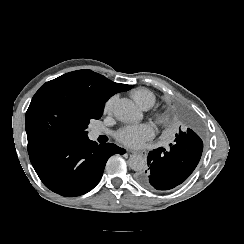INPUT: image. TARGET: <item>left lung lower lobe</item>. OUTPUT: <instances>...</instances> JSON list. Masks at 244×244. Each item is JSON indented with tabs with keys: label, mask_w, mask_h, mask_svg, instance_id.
<instances>
[{
	"label": "left lung lower lobe",
	"mask_w": 244,
	"mask_h": 244,
	"mask_svg": "<svg viewBox=\"0 0 244 244\" xmlns=\"http://www.w3.org/2000/svg\"><path fill=\"white\" fill-rule=\"evenodd\" d=\"M180 121L182 127L170 148L160 147L149 152L148 168L137 175L143 187L172 189L183 183L199 163L203 151L199 125L189 115H182Z\"/></svg>",
	"instance_id": "0a47b994"
}]
</instances>
